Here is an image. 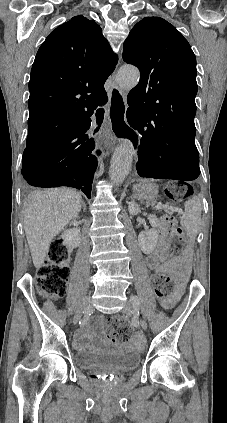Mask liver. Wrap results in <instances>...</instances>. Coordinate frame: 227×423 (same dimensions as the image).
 I'll return each mask as SVG.
<instances>
[{
  "label": "liver",
  "instance_id": "1",
  "mask_svg": "<svg viewBox=\"0 0 227 423\" xmlns=\"http://www.w3.org/2000/svg\"><path fill=\"white\" fill-rule=\"evenodd\" d=\"M82 208L79 192L70 188H50L33 192L24 210V229L36 269L42 267L50 243Z\"/></svg>",
  "mask_w": 227,
  "mask_h": 423
}]
</instances>
